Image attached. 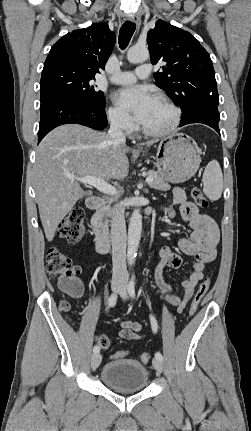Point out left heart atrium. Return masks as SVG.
Here are the masks:
<instances>
[{
	"label": "left heart atrium",
	"instance_id": "1",
	"mask_svg": "<svg viewBox=\"0 0 251 431\" xmlns=\"http://www.w3.org/2000/svg\"><path fill=\"white\" fill-rule=\"evenodd\" d=\"M116 103L131 113L139 123H144L158 99L144 86H129L118 91Z\"/></svg>",
	"mask_w": 251,
	"mask_h": 431
}]
</instances>
